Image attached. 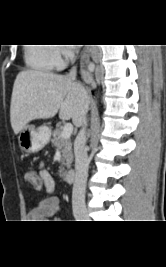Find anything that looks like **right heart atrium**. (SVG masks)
<instances>
[{"instance_id": "1", "label": "right heart atrium", "mask_w": 166, "mask_h": 267, "mask_svg": "<svg viewBox=\"0 0 166 267\" xmlns=\"http://www.w3.org/2000/svg\"><path fill=\"white\" fill-rule=\"evenodd\" d=\"M55 52L61 61V58H66L71 55L70 49L65 46H58L55 48ZM62 63V61H61Z\"/></svg>"}]
</instances>
